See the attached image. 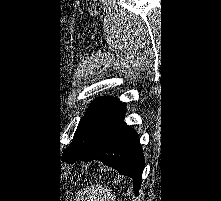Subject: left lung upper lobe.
<instances>
[{
	"mask_svg": "<svg viewBox=\"0 0 221 201\" xmlns=\"http://www.w3.org/2000/svg\"><path fill=\"white\" fill-rule=\"evenodd\" d=\"M119 102L120 101L114 97L103 96L96 98L90 104L85 116L81 118L79 122L72 143L63 152V160L76 155L87 144H89L101 122L111 109L119 104Z\"/></svg>",
	"mask_w": 221,
	"mask_h": 201,
	"instance_id": "left-lung-upper-lobe-1",
	"label": "left lung upper lobe"
}]
</instances>
